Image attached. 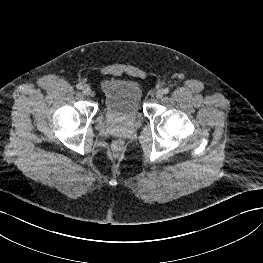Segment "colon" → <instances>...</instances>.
Returning a JSON list of instances; mask_svg holds the SVG:
<instances>
[{
    "instance_id": "colon-1",
    "label": "colon",
    "mask_w": 263,
    "mask_h": 263,
    "mask_svg": "<svg viewBox=\"0 0 263 263\" xmlns=\"http://www.w3.org/2000/svg\"><path fill=\"white\" fill-rule=\"evenodd\" d=\"M123 148V143L121 141H116L114 142L113 144V149L116 151V152H120Z\"/></svg>"
}]
</instances>
